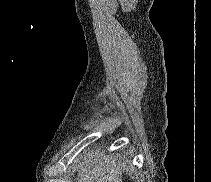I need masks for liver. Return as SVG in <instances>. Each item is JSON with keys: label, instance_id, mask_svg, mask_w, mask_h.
Here are the masks:
<instances>
[{"label": "liver", "instance_id": "obj_1", "mask_svg": "<svg viewBox=\"0 0 211 182\" xmlns=\"http://www.w3.org/2000/svg\"><path fill=\"white\" fill-rule=\"evenodd\" d=\"M126 164L118 158H99L96 155L91 162H86V167L79 170L76 182H122V174Z\"/></svg>", "mask_w": 211, "mask_h": 182}]
</instances>
